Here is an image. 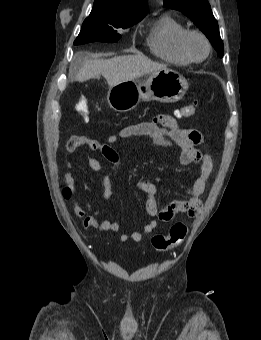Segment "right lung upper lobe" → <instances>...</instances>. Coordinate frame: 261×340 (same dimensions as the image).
I'll return each mask as SVG.
<instances>
[{"mask_svg": "<svg viewBox=\"0 0 261 340\" xmlns=\"http://www.w3.org/2000/svg\"><path fill=\"white\" fill-rule=\"evenodd\" d=\"M92 11L116 18H144L147 0H95Z\"/></svg>", "mask_w": 261, "mask_h": 340, "instance_id": "right-lung-upper-lobe-1", "label": "right lung upper lobe"}]
</instances>
